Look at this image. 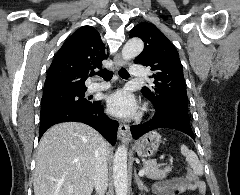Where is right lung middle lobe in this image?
Instances as JSON below:
<instances>
[{
	"mask_svg": "<svg viewBox=\"0 0 240 195\" xmlns=\"http://www.w3.org/2000/svg\"><path fill=\"white\" fill-rule=\"evenodd\" d=\"M86 89L60 91L42 96L41 110L54 106H85L91 102L84 98Z\"/></svg>",
	"mask_w": 240,
	"mask_h": 195,
	"instance_id": "1",
	"label": "right lung middle lobe"
}]
</instances>
